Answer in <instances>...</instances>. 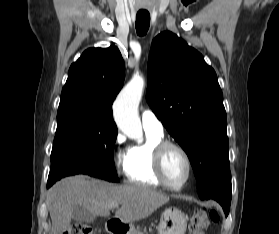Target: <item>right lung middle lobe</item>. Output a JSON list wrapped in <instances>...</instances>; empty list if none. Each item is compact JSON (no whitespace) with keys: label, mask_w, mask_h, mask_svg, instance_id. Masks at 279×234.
<instances>
[{"label":"right lung middle lobe","mask_w":279,"mask_h":234,"mask_svg":"<svg viewBox=\"0 0 279 234\" xmlns=\"http://www.w3.org/2000/svg\"><path fill=\"white\" fill-rule=\"evenodd\" d=\"M47 186L75 174L118 182L114 166L117 128L81 114L57 115Z\"/></svg>","instance_id":"dd1d6c3e"}]
</instances>
